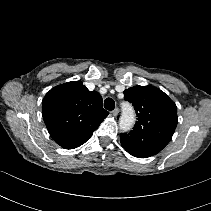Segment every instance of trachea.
Segmentation results:
<instances>
[{
  "label": "trachea",
  "instance_id": "obj_1",
  "mask_svg": "<svg viewBox=\"0 0 211 211\" xmlns=\"http://www.w3.org/2000/svg\"><path fill=\"white\" fill-rule=\"evenodd\" d=\"M104 107L105 109L112 111L115 108V102L112 98H106L104 101Z\"/></svg>",
  "mask_w": 211,
  "mask_h": 211
}]
</instances>
